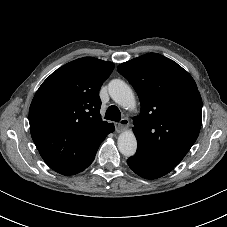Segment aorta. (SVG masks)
<instances>
[{
    "instance_id": "762f6f07",
    "label": "aorta",
    "mask_w": 227,
    "mask_h": 227,
    "mask_svg": "<svg viewBox=\"0 0 227 227\" xmlns=\"http://www.w3.org/2000/svg\"><path fill=\"white\" fill-rule=\"evenodd\" d=\"M110 97L118 105L125 109H133L136 106L132 89L122 80L114 79L108 85ZM118 149L126 157L133 156L137 150V140L131 130L122 132L118 137Z\"/></svg>"
}]
</instances>
